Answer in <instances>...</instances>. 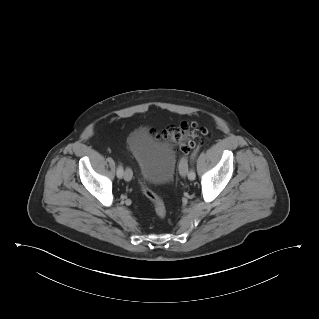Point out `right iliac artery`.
<instances>
[{
	"label": "right iliac artery",
	"mask_w": 319,
	"mask_h": 319,
	"mask_svg": "<svg viewBox=\"0 0 319 319\" xmlns=\"http://www.w3.org/2000/svg\"><path fill=\"white\" fill-rule=\"evenodd\" d=\"M123 173H124V171H123V166H122V164H119V166H118V168H117V177H118V178H122Z\"/></svg>",
	"instance_id": "1"
}]
</instances>
